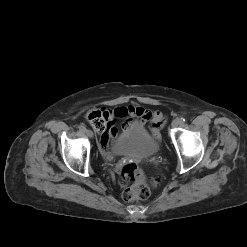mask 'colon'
<instances>
[{
	"mask_svg": "<svg viewBox=\"0 0 247 247\" xmlns=\"http://www.w3.org/2000/svg\"><path fill=\"white\" fill-rule=\"evenodd\" d=\"M89 124L98 132L104 133L108 128V117L104 111L95 110L88 114ZM124 181L131 182L132 185L123 191L122 197L130 202L136 199H146L150 195V187L145 179L142 170L134 163L124 164L120 169ZM158 183L157 178L151 180L152 185Z\"/></svg>",
	"mask_w": 247,
	"mask_h": 247,
	"instance_id": "obj_1",
	"label": "colon"
}]
</instances>
